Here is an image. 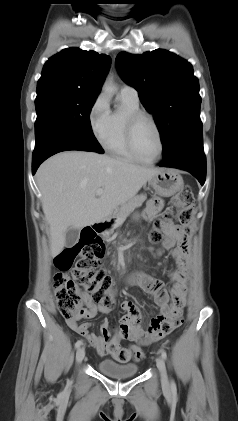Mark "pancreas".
<instances>
[{
  "label": "pancreas",
  "instance_id": "pancreas-1",
  "mask_svg": "<svg viewBox=\"0 0 238 421\" xmlns=\"http://www.w3.org/2000/svg\"><path fill=\"white\" fill-rule=\"evenodd\" d=\"M146 200V195H138L127 202L123 203L114 213V216L116 218V223L113 226V228L109 231H106L104 234L105 238H108L109 235L113 232V230L118 227L120 224L124 222V220L127 218V216L135 210V208L140 207L142 203Z\"/></svg>",
  "mask_w": 238,
  "mask_h": 421
}]
</instances>
